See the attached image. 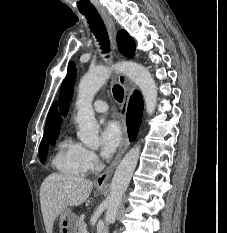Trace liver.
<instances>
[{"instance_id":"1","label":"liver","mask_w":227,"mask_h":233,"mask_svg":"<svg viewBox=\"0 0 227 233\" xmlns=\"http://www.w3.org/2000/svg\"><path fill=\"white\" fill-rule=\"evenodd\" d=\"M93 182L81 177L52 173L40 187V204L47 233L68 206H79L90 196Z\"/></svg>"}]
</instances>
